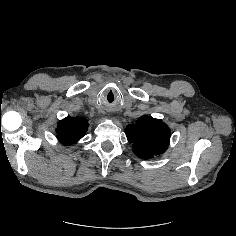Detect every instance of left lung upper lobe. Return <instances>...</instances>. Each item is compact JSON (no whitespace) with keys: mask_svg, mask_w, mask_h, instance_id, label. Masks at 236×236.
I'll return each instance as SVG.
<instances>
[{"mask_svg":"<svg viewBox=\"0 0 236 236\" xmlns=\"http://www.w3.org/2000/svg\"><path fill=\"white\" fill-rule=\"evenodd\" d=\"M125 133L134 153L143 159L164 153L170 138V129L162 120L146 115L128 125Z\"/></svg>","mask_w":236,"mask_h":236,"instance_id":"5c2ea615","label":"left lung upper lobe"}]
</instances>
